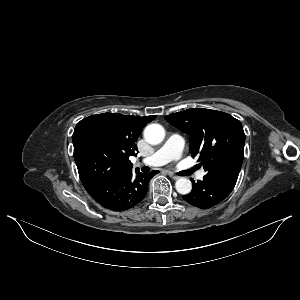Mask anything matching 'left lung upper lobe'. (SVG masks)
Segmentation results:
<instances>
[{"label":"left lung upper lobe","instance_id":"left-lung-upper-lobe-1","mask_svg":"<svg viewBox=\"0 0 300 300\" xmlns=\"http://www.w3.org/2000/svg\"><path fill=\"white\" fill-rule=\"evenodd\" d=\"M165 119L191 135L190 150L207 172L204 177L235 186L245 143L239 120L224 112L202 108L173 113Z\"/></svg>","mask_w":300,"mask_h":300}]
</instances>
